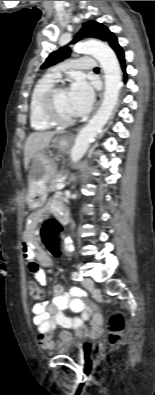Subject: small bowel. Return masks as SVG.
I'll use <instances>...</instances> for the list:
<instances>
[{
  "label": "small bowel",
  "instance_id": "small-bowel-1",
  "mask_svg": "<svg viewBox=\"0 0 155 395\" xmlns=\"http://www.w3.org/2000/svg\"><path fill=\"white\" fill-rule=\"evenodd\" d=\"M61 208L63 204L60 196L56 195L45 207L34 213L30 218L29 230L22 245L23 256L28 261L30 272L33 278L42 285L47 281L42 266H52L53 262L37 245L33 239V232L41 219L50 213L57 214ZM81 297L82 292L78 288L66 291L63 286H57L54 289L53 301L49 305L37 303L33 306V323L38 329V340L44 349H51L54 346L53 334L57 326L66 329L59 334V342L72 338L69 329L73 330L78 337L97 336L101 333L102 316L92 305H86ZM66 309L80 313V315L69 317L64 313ZM87 319H91V328L85 325Z\"/></svg>",
  "mask_w": 155,
  "mask_h": 395
}]
</instances>
